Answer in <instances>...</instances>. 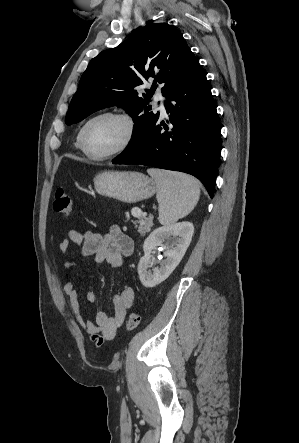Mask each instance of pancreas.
<instances>
[{
    "label": "pancreas",
    "instance_id": "cf45deb5",
    "mask_svg": "<svg viewBox=\"0 0 299 443\" xmlns=\"http://www.w3.org/2000/svg\"><path fill=\"white\" fill-rule=\"evenodd\" d=\"M136 217L139 219V225L137 226L135 224V227L138 228V232L141 236H144L147 232H150L151 227L153 226V219L146 217L142 213H138Z\"/></svg>",
    "mask_w": 299,
    "mask_h": 443
}]
</instances>
